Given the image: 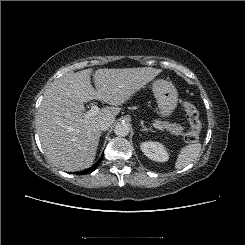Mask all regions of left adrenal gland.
<instances>
[{
  "label": "left adrenal gland",
  "mask_w": 245,
  "mask_h": 245,
  "mask_svg": "<svg viewBox=\"0 0 245 245\" xmlns=\"http://www.w3.org/2000/svg\"><path fill=\"white\" fill-rule=\"evenodd\" d=\"M142 129L141 131H152L150 128H147L146 126H144L143 124H141Z\"/></svg>",
  "instance_id": "obj_1"
}]
</instances>
